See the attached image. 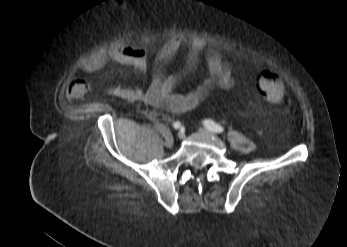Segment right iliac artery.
Returning a JSON list of instances; mask_svg holds the SVG:
<instances>
[{"instance_id":"right-iliac-artery-1","label":"right iliac artery","mask_w":347,"mask_h":247,"mask_svg":"<svg viewBox=\"0 0 347 247\" xmlns=\"http://www.w3.org/2000/svg\"><path fill=\"white\" fill-rule=\"evenodd\" d=\"M180 126H181V123H180L179 121H176V122H174V124H173V127H174L175 129L180 128Z\"/></svg>"}]
</instances>
